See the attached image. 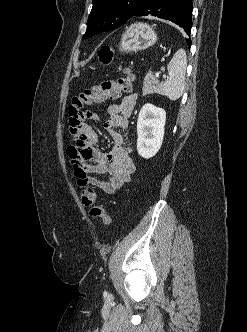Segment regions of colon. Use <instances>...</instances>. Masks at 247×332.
<instances>
[{
	"instance_id": "5ec220e1",
	"label": "colon",
	"mask_w": 247,
	"mask_h": 332,
	"mask_svg": "<svg viewBox=\"0 0 247 332\" xmlns=\"http://www.w3.org/2000/svg\"><path fill=\"white\" fill-rule=\"evenodd\" d=\"M113 58V51L110 47L104 46L99 50V60L103 64H109ZM125 76L116 81H102L89 88L82 90L72 97L69 106L70 132L73 134L81 127L84 120V109L104 102L107 99H116L122 93L132 89L134 75L124 69ZM83 203L90 207V215L95 219H100L105 226L112 222L111 216L104 206L97 204V194L87 187L82 193Z\"/></svg>"
}]
</instances>
